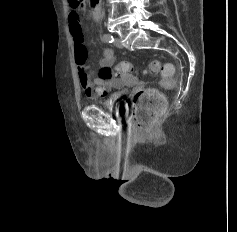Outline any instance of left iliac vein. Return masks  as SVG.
<instances>
[{"label":"left iliac vein","instance_id":"4c4485c4","mask_svg":"<svg viewBox=\"0 0 237 232\" xmlns=\"http://www.w3.org/2000/svg\"><path fill=\"white\" fill-rule=\"evenodd\" d=\"M114 45L117 47V48H122V43L120 41L119 38H115L114 40Z\"/></svg>","mask_w":237,"mask_h":232}]
</instances>
